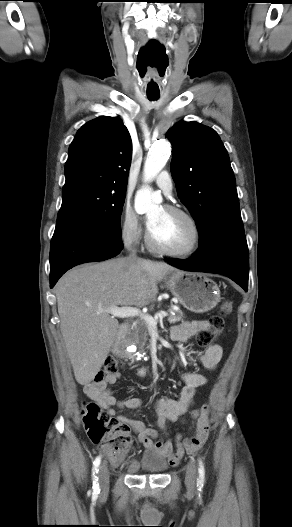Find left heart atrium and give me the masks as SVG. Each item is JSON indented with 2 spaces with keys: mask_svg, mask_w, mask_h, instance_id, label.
Here are the masks:
<instances>
[{
  "mask_svg": "<svg viewBox=\"0 0 292 527\" xmlns=\"http://www.w3.org/2000/svg\"><path fill=\"white\" fill-rule=\"evenodd\" d=\"M155 223V217H149L147 220V226L150 229Z\"/></svg>",
  "mask_w": 292,
  "mask_h": 527,
  "instance_id": "obj_1",
  "label": "left heart atrium"
}]
</instances>
